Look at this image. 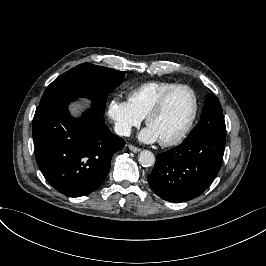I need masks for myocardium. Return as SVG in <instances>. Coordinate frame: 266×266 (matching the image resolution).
Here are the masks:
<instances>
[{
	"instance_id": "obj_1",
	"label": "myocardium",
	"mask_w": 266,
	"mask_h": 266,
	"mask_svg": "<svg viewBox=\"0 0 266 266\" xmlns=\"http://www.w3.org/2000/svg\"><path fill=\"white\" fill-rule=\"evenodd\" d=\"M180 88H185L187 90H189L194 98V112L193 115L190 119V121L188 122V124L184 127V129L174 138L172 139H159L160 143L166 146H171V145H176L178 143H180L187 135L188 133L192 130L198 115H199V111H200V102H199V97L197 92L195 91V89L185 83H178L176 85H174L173 87L167 89L166 91H164L160 97L158 98V100L154 103V105L149 109L148 113L146 114V122L149 125L150 120L157 115L158 113H160L164 106L165 103L167 102L168 98L170 97V95L176 91L177 89Z\"/></svg>"
}]
</instances>
